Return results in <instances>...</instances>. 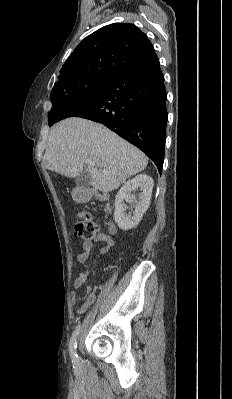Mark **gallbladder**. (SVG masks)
<instances>
[{
	"label": "gallbladder",
	"mask_w": 232,
	"mask_h": 399,
	"mask_svg": "<svg viewBox=\"0 0 232 399\" xmlns=\"http://www.w3.org/2000/svg\"><path fill=\"white\" fill-rule=\"evenodd\" d=\"M90 182H91V176L89 172H86V170H83L80 176L76 178V184H78V186H82V188H88V186H90Z\"/></svg>",
	"instance_id": "gallbladder-1"
}]
</instances>
